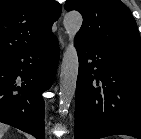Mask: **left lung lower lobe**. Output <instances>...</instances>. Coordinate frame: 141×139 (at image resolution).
<instances>
[{"mask_svg":"<svg viewBox=\"0 0 141 139\" xmlns=\"http://www.w3.org/2000/svg\"><path fill=\"white\" fill-rule=\"evenodd\" d=\"M79 71L75 139L114 134L141 139V56L76 36Z\"/></svg>","mask_w":141,"mask_h":139,"instance_id":"0a47b994","label":"left lung lower lobe"}]
</instances>
